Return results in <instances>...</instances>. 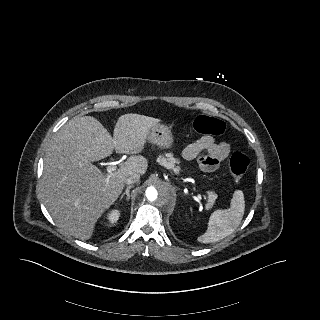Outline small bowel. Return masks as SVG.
Returning a JSON list of instances; mask_svg holds the SVG:
<instances>
[{"mask_svg":"<svg viewBox=\"0 0 320 320\" xmlns=\"http://www.w3.org/2000/svg\"><path fill=\"white\" fill-rule=\"evenodd\" d=\"M230 154V145L226 142H217L212 135H206L188 144L182 151L186 160L199 158L200 167L203 171L215 172L220 163Z\"/></svg>","mask_w":320,"mask_h":320,"instance_id":"small-bowel-1","label":"small bowel"}]
</instances>
